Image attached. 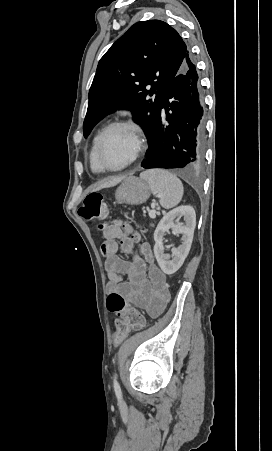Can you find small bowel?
I'll return each mask as SVG.
<instances>
[{"label":"small bowel","instance_id":"c3829d8e","mask_svg":"<svg viewBox=\"0 0 272 451\" xmlns=\"http://www.w3.org/2000/svg\"><path fill=\"white\" fill-rule=\"evenodd\" d=\"M103 239L101 253L105 258L109 295H122L134 305L146 309L151 316L160 315L170 300V293L165 275L155 263L151 246L141 243L137 252L133 227L129 224L105 227ZM119 248L124 254L131 255L132 260L121 258Z\"/></svg>","mask_w":272,"mask_h":451}]
</instances>
